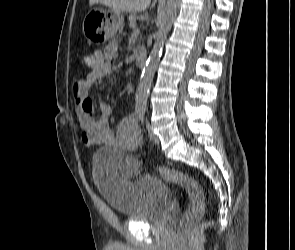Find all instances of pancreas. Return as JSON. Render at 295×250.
<instances>
[{
  "label": "pancreas",
  "instance_id": "1",
  "mask_svg": "<svg viewBox=\"0 0 295 250\" xmlns=\"http://www.w3.org/2000/svg\"><path fill=\"white\" fill-rule=\"evenodd\" d=\"M128 21H129L130 26H132L133 23H136V14L135 13H131L128 16Z\"/></svg>",
  "mask_w": 295,
  "mask_h": 250
}]
</instances>
